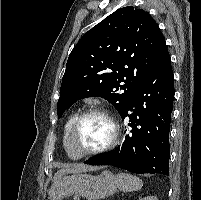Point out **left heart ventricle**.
<instances>
[{"instance_id": "obj_1", "label": "left heart ventricle", "mask_w": 201, "mask_h": 200, "mask_svg": "<svg viewBox=\"0 0 201 200\" xmlns=\"http://www.w3.org/2000/svg\"><path fill=\"white\" fill-rule=\"evenodd\" d=\"M111 137V126L101 116H90L83 119L77 126L73 145L77 152H86L105 145Z\"/></svg>"}]
</instances>
